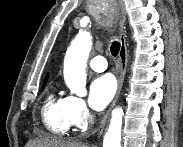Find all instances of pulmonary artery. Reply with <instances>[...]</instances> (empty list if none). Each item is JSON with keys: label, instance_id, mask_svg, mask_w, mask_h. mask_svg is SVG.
<instances>
[{"label": "pulmonary artery", "instance_id": "pulmonary-artery-1", "mask_svg": "<svg viewBox=\"0 0 183 147\" xmlns=\"http://www.w3.org/2000/svg\"><path fill=\"white\" fill-rule=\"evenodd\" d=\"M89 66L92 70H94L96 72H102V71L106 70L107 62H106V59L104 57L96 56V57H93L89 61Z\"/></svg>", "mask_w": 183, "mask_h": 147}]
</instances>
